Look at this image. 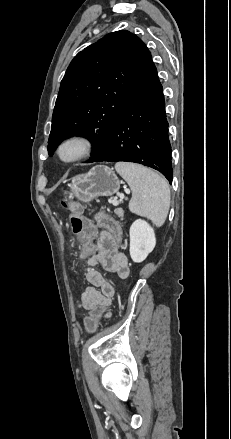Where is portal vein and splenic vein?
I'll use <instances>...</instances> for the list:
<instances>
[{
  "label": "portal vein and splenic vein",
  "instance_id": "18ae733b",
  "mask_svg": "<svg viewBox=\"0 0 231 439\" xmlns=\"http://www.w3.org/2000/svg\"><path fill=\"white\" fill-rule=\"evenodd\" d=\"M127 193H130V192L128 191ZM119 196H120V198H124V194H120ZM117 204H118V203H117L116 201L113 202V205L116 206Z\"/></svg>",
  "mask_w": 231,
  "mask_h": 439
}]
</instances>
